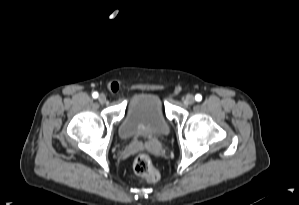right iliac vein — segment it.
Segmentation results:
<instances>
[{
	"mask_svg": "<svg viewBox=\"0 0 299 205\" xmlns=\"http://www.w3.org/2000/svg\"><path fill=\"white\" fill-rule=\"evenodd\" d=\"M106 96L104 94H100L99 97H98V101L101 103V104H104L106 102Z\"/></svg>",
	"mask_w": 299,
	"mask_h": 205,
	"instance_id": "right-iliac-vein-1",
	"label": "right iliac vein"
}]
</instances>
